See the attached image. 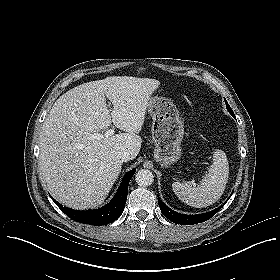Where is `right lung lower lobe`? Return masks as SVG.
Listing matches in <instances>:
<instances>
[{
  "label": "right lung lower lobe",
  "mask_w": 280,
  "mask_h": 280,
  "mask_svg": "<svg viewBox=\"0 0 280 280\" xmlns=\"http://www.w3.org/2000/svg\"><path fill=\"white\" fill-rule=\"evenodd\" d=\"M136 169L127 172L123 178L118 191L112 200L105 206L87 211H79L67 208L57 202L55 204L72 220L91 225H105L115 221L123 212L126 204L129 181L134 175Z\"/></svg>",
  "instance_id": "obj_1"
}]
</instances>
